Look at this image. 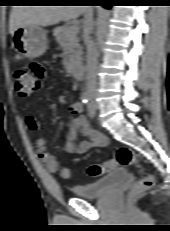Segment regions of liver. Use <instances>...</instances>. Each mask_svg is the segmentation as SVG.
Segmentation results:
<instances>
[{"instance_id": "liver-1", "label": "liver", "mask_w": 170, "mask_h": 231, "mask_svg": "<svg viewBox=\"0 0 170 231\" xmlns=\"http://www.w3.org/2000/svg\"><path fill=\"white\" fill-rule=\"evenodd\" d=\"M85 6H14L9 20V32L28 25L49 26L78 18Z\"/></svg>"}]
</instances>
